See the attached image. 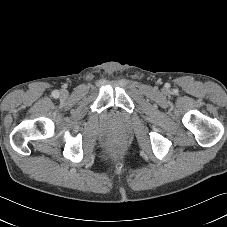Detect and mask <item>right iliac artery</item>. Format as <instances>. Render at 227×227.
<instances>
[{
	"label": "right iliac artery",
	"instance_id": "obj_1",
	"mask_svg": "<svg viewBox=\"0 0 227 227\" xmlns=\"http://www.w3.org/2000/svg\"><path fill=\"white\" fill-rule=\"evenodd\" d=\"M52 96L57 98L59 96V92L57 90L53 91Z\"/></svg>",
	"mask_w": 227,
	"mask_h": 227
}]
</instances>
